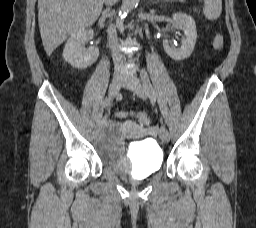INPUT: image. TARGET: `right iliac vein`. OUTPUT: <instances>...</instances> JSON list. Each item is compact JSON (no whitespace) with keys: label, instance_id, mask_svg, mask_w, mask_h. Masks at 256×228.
I'll use <instances>...</instances> for the list:
<instances>
[{"label":"right iliac vein","instance_id":"63e3f726","mask_svg":"<svg viewBox=\"0 0 256 228\" xmlns=\"http://www.w3.org/2000/svg\"><path fill=\"white\" fill-rule=\"evenodd\" d=\"M124 83V77L120 74L114 75L110 87H109V97L114 98L117 96V94L120 91L121 86ZM105 124V119H101L100 121L97 122V130H101Z\"/></svg>","mask_w":256,"mask_h":228}]
</instances>
